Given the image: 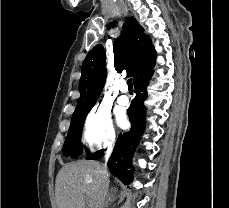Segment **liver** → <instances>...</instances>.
<instances>
[{"label": "liver", "mask_w": 229, "mask_h": 208, "mask_svg": "<svg viewBox=\"0 0 229 208\" xmlns=\"http://www.w3.org/2000/svg\"><path fill=\"white\" fill-rule=\"evenodd\" d=\"M104 168L93 160H78L65 164L58 172L55 184L57 208H99Z\"/></svg>", "instance_id": "6515ba94"}]
</instances>
